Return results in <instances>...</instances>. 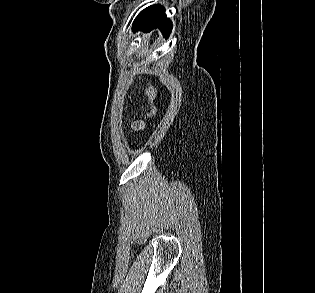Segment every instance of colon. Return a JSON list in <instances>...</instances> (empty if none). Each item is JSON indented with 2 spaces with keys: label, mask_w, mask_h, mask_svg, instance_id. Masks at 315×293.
<instances>
[{
  "label": "colon",
  "mask_w": 315,
  "mask_h": 293,
  "mask_svg": "<svg viewBox=\"0 0 315 293\" xmlns=\"http://www.w3.org/2000/svg\"><path fill=\"white\" fill-rule=\"evenodd\" d=\"M145 93L151 103L150 117L152 119L150 120V123L152 125H156L157 120L155 118H158L160 115V106L155 105V91L151 85H147L145 88Z\"/></svg>",
  "instance_id": "colon-1"
}]
</instances>
